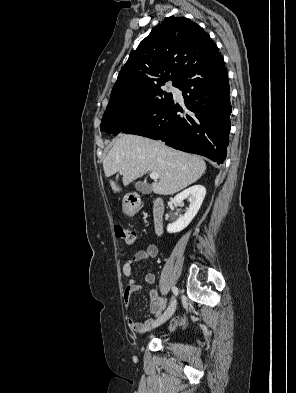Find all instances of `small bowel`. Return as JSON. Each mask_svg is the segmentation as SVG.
<instances>
[{
    "label": "small bowel",
    "instance_id": "c3829d8e",
    "mask_svg": "<svg viewBox=\"0 0 296 393\" xmlns=\"http://www.w3.org/2000/svg\"><path fill=\"white\" fill-rule=\"evenodd\" d=\"M159 249L157 245L151 244L148 245L145 249L137 251L132 257L127 259L122 266L123 274L129 278L128 284L125 288L123 301L124 306L129 309L132 306V298L133 296L142 290L147 289L155 283L156 276L154 273H147L144 277L145 285H140L132 276L133 264L156 258L158 256ZM150 306L149 310L151 314L158 317L163 308L165 307L166 301L165 299L158 294V292L154 289L150 290ZM128 326L130 329L136 333H144L151 328H153L154 321L152 319H146L144 321H137L132 317H128L127 319ZM184 321L182 318H175L170 325L171 329H174L177 326H182Z\"/></svg>",
    "mask_w": 296,
    "mask_h": 393
}]
</instances>
